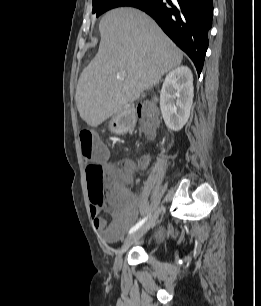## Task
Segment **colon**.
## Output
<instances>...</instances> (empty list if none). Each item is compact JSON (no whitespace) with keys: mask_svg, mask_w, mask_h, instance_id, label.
I'll list each match as a JSON object with an SVG mask.
<instances>
[{"mask_svg":"<svg viewBox=\"0 0 261 306\" xmlns=\"http://www.w3.org/2000/svg\"><path fill=\"white\" fill-rule=\"evenodd\" d=\"M144 135L151 136L154 130L156 116L150 104H141L131 110ZM126 124V120H122ZM80 145L82 159L86 163L88 190L92 198L112 196L111 184L113 182V170L105 167L100 162L107 157V149L97 146L93 134L89 130L80 132ZM97 160L98 162H96Z\"/></svg>","mask_w":261,"mask_h":306,"instance_id":"1","label":"colon"}]
</instances>
